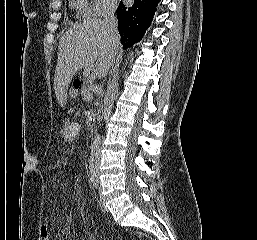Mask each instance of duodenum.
I'll return each instance as SVG.
<instances>
[{
	"label": "duodenum",
	"mask_w": 257,
	"mask_h": 240,
	"mask_svg": "<svg viewBox=\"0 0 257 240\" xmlns=\"http://www.w3.org/2000/svg\"><path fill=\"white\" fill-rule=\"evenodd\" d=\"M94 119L99 120L100 119V114L99 113L95 114Z\"/></svg>",
	"instance_id": "duodenum-1"
}]
</instances>
